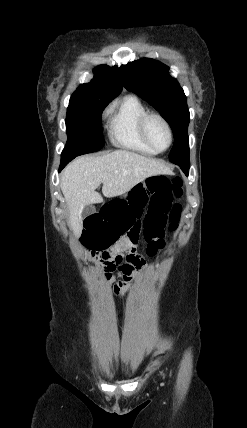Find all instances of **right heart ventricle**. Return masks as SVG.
Masks as SVG:
<instances>
[{"label":"right heart ventricle","mask_w":247,"mask_h":428,"mask_svg":"<svg viewBox=\"0 0 247 428\" xmlns=\"http://www.w3.org/2000/svg\"><path fill=\"white\" fill-rule=\"evenodd\" d=\"M148 112L142 101L133 94L125 96L108 115V135L117 147L145 155H156L142 138L140 120Z\"/></svg>","instance_id":"obj_1"}]
</instances>
